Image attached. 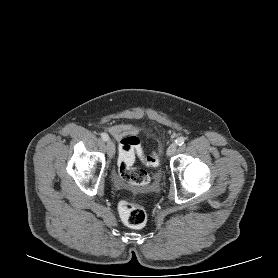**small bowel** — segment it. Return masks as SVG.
Segmentation results:
<instances>
[{
    "label": "small bowel",
    "mask_w": 278,
    "mask_h": 278,
    "mask_svg": "<svg viewBox=\"0 0 278 278\" xmlns=\"http://www.w3.org/2000/svg\"><path fill=\"white\" fill-rule=\"evenodd\" d=\"M108 131L118 141L127 137H137L140 132L138 127L129 123L110 126Z\"/></svg>",
    "instance_id": "1"
}]
</instances>
